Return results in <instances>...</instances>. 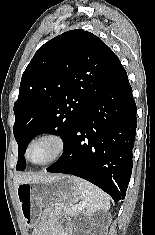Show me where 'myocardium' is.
Masks as SVG:
<instances>
[{"label": "myocardium", "mask_w": 155, "mask_h": 235, "mask_svg": "<svg viewBox=\"0 0 155 235\" xmlns=\"http://www.w3.org/2000/svg\"><path fill=\"white\" fill-rule=\"evenodd\" d=\"M43 140L55 141L57 143L58 149L56 153L50 159L44 162L36 163L30 159V151L37 142H40ZM67 151H68V140L63 134L58 133V132H47L31 140V142L27 146V149L25 152V158L28 162H30L33 165L46 166V165L53 164L59 161L60 159H62L66 155Z\"/></svg>", "instance_id": "myocardium-1"}]
</instances>
